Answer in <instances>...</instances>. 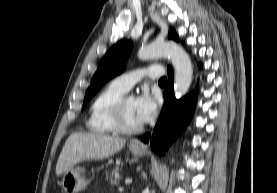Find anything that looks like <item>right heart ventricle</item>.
I'll list each match as a JSON object with an SVG mask.
<instances>
[{
    "instance_id": "1",
    "label": "right heart ventricle",
    "mask_w": 277,
    "mask_h": 193,
    "mask_svg": "<svg viewBox=\"0 0 277 193\" xmlns=\"http://www.w3.org/2000/svg\"><path fill=\"white\" fill-rule=\"evenodd\" d=\"M124 94V90L111 82L94 98L89 107L87 120V128L92 133L102 135L116 133L112 120V108Z\"/></svg>"
}]
</instances>
